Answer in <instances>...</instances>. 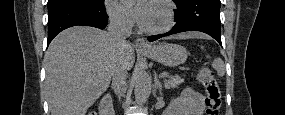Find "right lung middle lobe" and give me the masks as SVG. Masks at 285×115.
<instances>
[{"label":"right lung middle lobe","mask_w":285,"mask_h":115,"mask_svg":"<svg viewBox=\"0 0 285 115\" xmlns=\"http://www.w3.org/2000/svg\"><path fill=\"white\" fill-rule=\"evenodd\" d=\"M66 5H81L94 9H103L104 0H48V12Z\"/></svg>","instance_id":"1"}]
</instances>
